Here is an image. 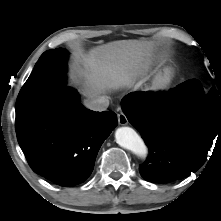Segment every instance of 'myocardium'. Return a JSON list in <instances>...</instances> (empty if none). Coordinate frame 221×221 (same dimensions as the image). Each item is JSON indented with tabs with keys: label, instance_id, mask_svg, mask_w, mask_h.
I'll use <instances>...</instances> for the list:
<instances>
[{
	"label": "myocardium",
	"instance_id": "1",
	"mask_svg": "<svg viewBox=\"0 0 221 221\" xmlns=\"http://www.w3.org/2000/svg\"><path fill=\"white\" fill-rule=\"evenodd\" d=\"M171 79V71L167 70L162 76L158 78L156 83L154 84V90L155 91H163L165 90L170 82Z\"/></svg>",
	"mask_w": 221,
	"mask_h": 221
}]
</instances>
